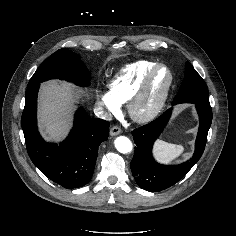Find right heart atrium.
<instances>
[{"instance_id": "obj_1", "label": "right heart atrium", "mask_w": 236, "mask_h": 236, "mask_svg": "<svg viewBox=\"0 0 236 236\" xmlns=\"http://www.w3.org/2000/svg\"><path fill=\"white\" fill-rule=\"evenodd\" d=\"M99 101L110 114H117L120 110V104L114 99L110 91H101Z\"/></svg>"}]
</instances>
